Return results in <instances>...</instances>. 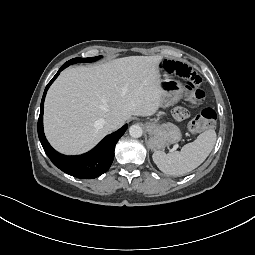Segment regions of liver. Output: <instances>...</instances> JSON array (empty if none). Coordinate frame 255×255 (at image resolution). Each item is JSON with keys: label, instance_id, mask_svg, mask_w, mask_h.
Listing matches in <instances>:
<instances>
[{"label": "liver", "instance_id": "6515ba94", "mask_svg": "<svg viewBox=\"0 0 255 255\" xmlns=\"http://www.w3.org/2000/svg\"><path fill=\"white\" fill-rule=\"evenodd\" d=\"M162 56H129L91 67L64 70L50 87L44 107V131L64 154H81L108 134L105 121L122 125L151 116L161 106Z\"/></svg>", "mask_w": 255, "mask_h": 255}]
</instances>
